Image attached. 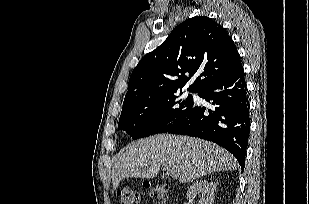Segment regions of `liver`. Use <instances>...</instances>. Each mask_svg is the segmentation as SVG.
I'll use <instances>...</instances> for the list:
<instances>
[{"instance_id": "liver-1", "label": "liver", "mask_w": 309, "mask_h": 204, "mask_svg": "<svg viewBox=\"0 0 309 204\" xmlns=\"http://www.w3.org/2000/svg\"><path fill=\"white\" fill-rule=\"evenodd\" d=\"M161 166L174 169L180 182L186 183L213 172L236 170L238 163L209 141L159 134L131 143L119 157L112 170L113 190L125 178H154Z\"/></svg>"}]
</instances>
